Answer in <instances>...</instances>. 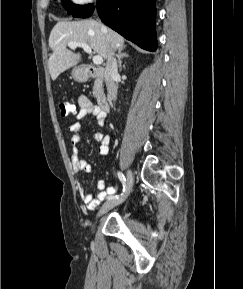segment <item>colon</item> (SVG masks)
Wrapping results in <instances>:
<instances>
[{"label":"colon","mask_w":243,"mask_h":289,"mask_svg":"<svg viewBox=\"0 0 243 289\" xmlns=\"http://www.w3.org/2000/svg\"><path fill=\"white\" fill-rule=\"evenodd\" d=\"M61 116L66 117L75 113V106L69 101H61L58 105Z\"/></svg>","instance_id":"5ec220e1"}]
</instances>
